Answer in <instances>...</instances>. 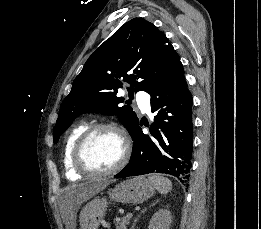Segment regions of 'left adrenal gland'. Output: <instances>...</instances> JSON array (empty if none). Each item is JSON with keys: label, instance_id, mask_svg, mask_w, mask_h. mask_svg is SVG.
Here are the masks:
<instances>
[{"label": "left adrenal gland", "instance_id": "1", "mask_svg": "<svg viewBox=\"0 0 261 229\" xmlns=\"http://www.w3.org/2000/svg\"><path fill=\"white\" fill-rule=\"evenodd\" d=\"M156 203H158V201H156ZM153 205H155V203H153ZM153 205H151V207H153ZM144 211H147L146 207H145V209H143L142 213H144ZM136 221H138V219H134V223H133L131 229H134V227L136 225Z\"/></svg>", "mask_w": 261, "mask_h": 229}]
</instances>
